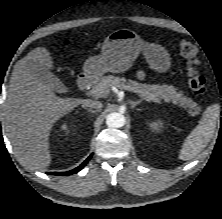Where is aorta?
I'll return each mask as SVG.
<instances>
[{
	"label": "aorta",
	"instance_id": "obj_1",
	"mask_svg": "<svg viewBox=\"0 0 222 219\" xmlns=\"http://www.w3.org/2000/svg\"><path fill=\"white\" fill-rule=\"evenodd\" d=\"M106 124L111 128H121L125 125V117L121 113H110L106 118Z\"/></svg>",
	"mask_w": 222,
	"mask_h": 219
}]
</instances>
